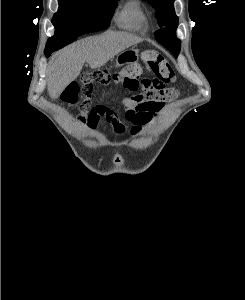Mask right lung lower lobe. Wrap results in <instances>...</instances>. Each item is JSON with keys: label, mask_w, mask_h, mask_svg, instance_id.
<instances>
[{"label": "right lung lower lobe", "mask_w": 245, "mask_h": 300, "mask_svg": "<svg viewBox=\"0 0 245 300\" xmlns=\"http://www.w3.org/2000/svg\"><path fill=\"white\" fill-rule=\"evenodd\" d=\"M81 28H82V34H85V33L104 30L107 28V26L103 25L102 22L98 20H87L81 25ZM53 51L54 50L52 49L50 50L45 49L44 50L45 56L49 57Z\"/></svg>", "instance_id": "98d812e1"}]
</instances>
